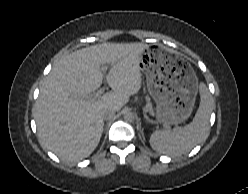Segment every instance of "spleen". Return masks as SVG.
Wrapping results in <instances>:
<instances>
[{"mask_svg": "<svg viewBox=\"0 0 248 194\" xmlns=\"http://www.w3.org/2000/svg\"><path fill=\"white\" fill-rule=\"evenodd\" d=\"M200 105L193 121L182 127L158 130L150 136L151 147L159 153L180 156L201 143L209 133V119L213 109V98L204 83L199 86Z\"/></svg>", "mask_w": 248, "mask_h": 194, "instance_id": "spleen-1", "label": "spleen"}]
</instances>
